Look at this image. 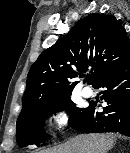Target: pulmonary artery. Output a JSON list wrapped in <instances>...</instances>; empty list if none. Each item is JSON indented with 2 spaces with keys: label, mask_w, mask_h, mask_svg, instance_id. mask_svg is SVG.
<instances>
[{
  "label": "pulmonary artery",
  "mask_w": 130,
  "mask_h": 153,
  "mask_svg": "<svg viewBox=\"0 0 130 153\" xmlns=\"http://www.w3.org/2000/svg\"><path fill=\"white\" fill-rule=\"evenodd\" d=\"M93 94H94L93 90L89 87H85L82 90V95L86 98H89V97L93 96Z\"/></svg>",
  "instance_id": "e3ab8cb5"
}]
</instances>
